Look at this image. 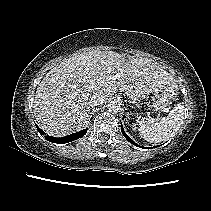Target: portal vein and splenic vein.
Wrapping results in <instances>:
<instances>
[{
	"mask_svg": "<svg viewBox=\"0 0 211 211\" xmlns=\"http://www.w3.org/2000/svg\"><path fill=\"white\" fill-rule=\"evenodd\" d=\"M119 78H120V74H115V75L109 77L110 80H117Z\"/></svg>",
	"mask_w": 211,
	"mask_h": 211,
	"instance_id": "1",
	"label": "portal vein and splenic vein"
}]
</instances>
